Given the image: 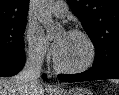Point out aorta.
Listing matches in <instances>:
<instances>
[{"label":"aorta","mask_w":119,"mask_h":95,"mask_svg":"<svg viewBox=\"0 0 119 95\" xmlns=\"http://www.w3.org/2000/svg\"><path fill=\"white\" fill-rule=\"evenodd\" d=\"M53 0H35V15L38 21L44 26L48 38L54 37L62 26L52 19Z\"/></svg>","instance_id":"aorta-1"}]
</instances>
